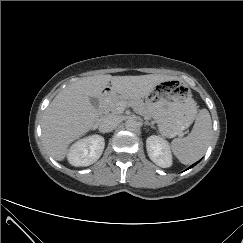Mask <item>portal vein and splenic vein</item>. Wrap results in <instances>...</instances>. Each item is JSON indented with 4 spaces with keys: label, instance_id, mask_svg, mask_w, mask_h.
Returning a JSON list of instances; mask_svg holds the SVG:
<instances>
[{
    "label": "portal vein and splenic vein",
    "instance_id": "obj_1",
    "mask_svg": "<svg viewBox=\"0 0 243 243\" xmlns=\"http://www.w3.org/2000/svg\"><path fill=\"white\" fill-rule=\"evenodd\" d=\"M125 108H126V106H125L124 104H120L118 109H119L121 112H123V111L125 110Z\"/></svg>",
    "mask_w": 243,
    "mask_h": 243
}]
</instances>
